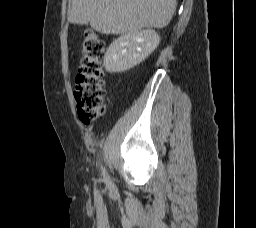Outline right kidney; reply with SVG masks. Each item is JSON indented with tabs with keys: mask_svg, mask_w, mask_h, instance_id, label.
<instances>
[{
	"mask_svg": "<svg viewBox=\"0 0 256 228\" xmlns=\"http://www.w3.org/2000/svg\"><path fill=\"white\" fill-rule=\"evenodd\" d=\"M159 42V35L152 29L123 34L110 44L103 65L110 73L127 71L146 59Z\"/></svg>",
	"mask_w": 256,
	"mask_h": 228,
	"instance_id": "right-kidney-1",
	"label": "right kidney"
}]
</instances>
